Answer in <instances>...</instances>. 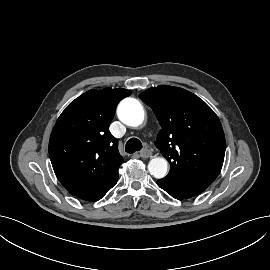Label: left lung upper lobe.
<instances>
[{
	"instance_id": "1",
	"label": "left lung upper lobe",
	"mask_w": 270,
	"mask_h": 270,
	"mask_svg": "<svg viewBox=\"0 0 270 270\" xmlns=\"http://www.w3.org/2000/svg\"><path fill=\"white\" fill-rule=\"evenodd\" d=\"M162 129L154 142L170 163L166 180L212 183L223 165L225 136L215 112L198 96L178 87H152L139 95Z\"/></svg>"
}]
</instances>
